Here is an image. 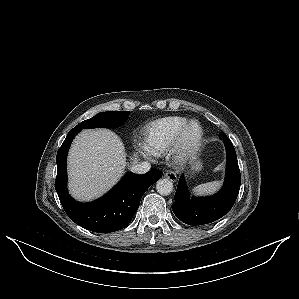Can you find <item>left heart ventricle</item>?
I'll return each instance as SVG.
<instances>
[{
  "instance_id": "1",
  "label": "left heart ventricle",
  "mask_w": 299,
  "mask_h": 299,
  "mask_svg": "<svg viewBox=\"0 0 299 299\" xmlns=\"http://www.w3.org/2000/svg\"><path fill=\"white\" fill-rule=\"evenodd\" d=\"M197 133V128L193 127L192 130L190 131V137H193Z\"/></svg>"
}]
</instances>
